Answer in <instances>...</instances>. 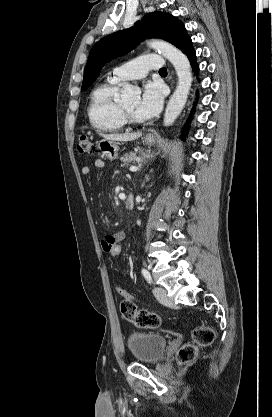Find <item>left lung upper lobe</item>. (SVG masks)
I'll use <instances>...</instances> for the list:
<instances>
[{
    "label": "left lung upper lobe",
    "instance_id": "left-lung-upper-lobe-1",
    "mask_svg": "<svg viewBox=\"0 0 272 417\" xmlns=\"http://www.w3.org/2000/svg\"><path fill=\"white\" fill-rule=\"evenodd\" d=\"M151 37L165 39L185 54L192 49V41L185 26L176 17L160 11L148 13L133 27L113 33L92 47L81 89H87L97 79L106 63L126 54L140 41Z\"/></svg>",
    "mask_w": 272,
    "mask_h": 417
}]
</instances>
